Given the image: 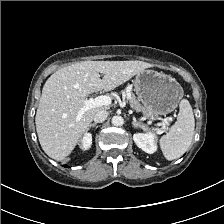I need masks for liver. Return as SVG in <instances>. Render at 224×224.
Listing matches in <instances>:
<instances>
[{"mask_svg":"<svg viewBox=\"0 0 224 224\" xmlns=\"http://www.w3.org/2000/svg\"><path fill=\"white\" fill-rule=\"evenodd\" d=\"M143 61H82L64 67L45 82L35 123L40 145L51 158L61 161L82 139L94 115L109 106L86 111L80 121L83 100L94 92L111 91L143 70L152 67ZM100 73L103 78H100Z\"/></svg>","mask_w":224,"mask_h":224,"instance_id":"6515ba94","label":"liver"}]
</instances>
